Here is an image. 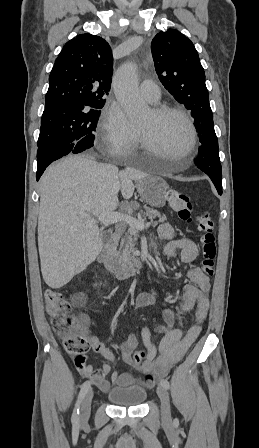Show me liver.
Returning a JSON list of instances; mask_svg holds the SVG:
<instances>
[{
  "instance_id": "obj_1",
  "label": "liver",
  "mask_w": 259,
  "mask_h": 448,
  "mask_svg": "<svg viewBox=\"0 0 259 448\" xmlns=\"http://www.w3.org/2000/svg\"><path fill=\"white\" fill-rule=\"evenodd\" d=\"M128 176L117 166L85 156H67L45 170L40 180L38 248L47 286L62 288L99 256L101 232L93 218H79L77 212L101 216L117 210L120 188L128 198Z\"/></svg>"
}]
</instances>
